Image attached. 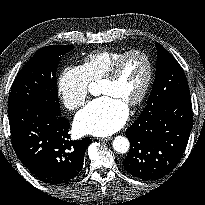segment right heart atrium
I'll use <instances>...</instances> for the list:
<instances>
[{"mask_svg": "<svg viewBox=\"0 0 205 205\" xmlns=\"http://www.w3.org/2000/svg\"><path fill=\"white\" fill-rule=\"evenodd\" d=\"M57 94L63 105L71 111L82 107L89 94V81L81 66L65 67L57 78Z\"/></svg>", "mask_w": 205, "mask_h": 205, "instance_id": "d8ad5b80", "label": "right heart atrium"}]
</instances>
